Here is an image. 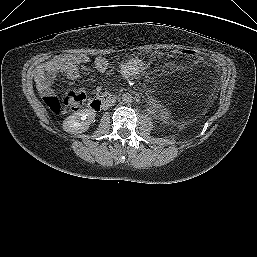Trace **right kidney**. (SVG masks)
Instances as JSON below:
<instances>
[{"instance_id": "ca27d5eb", "label": "right kidney", "mask_w": 257, "mask_h": 257, "mask_svg": "<svg viewBox=\"0 0 257 257\" xmlns=\"http://www.w3.org/2000/svg\"><path fill=\"white\" fill-rule=\"evenodd\" d=\"M95 116L96 114L92 109H81L64 120L63 129L72 134L83 133L89 129V125L94 121Z\"/></svg>"}]
</instances>
